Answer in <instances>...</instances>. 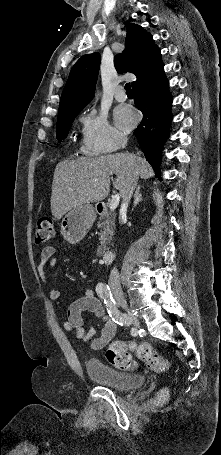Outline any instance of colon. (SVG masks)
Here are the masks:
<instances>
[{
  "label": "colon",
  "instance_id": "1",
  "mask_svg": "<svg viewBox=\"0 0 221 455\" xmlns=\"http://www.w3.org/2000/svg\"><path fill=\"white\" fill-rule=\"evenodd\" d=\"M35 241L37 244H49L55 238L54 222L51 218L45 217L38 221L35 228ZM131 352H135L138 359L145 362L146 366L156 372H165L169 369V363L161 355L154 351L147 342H124L115 340L107 347L106 359L113 366L131 370L137 366ZM168 398V391L162 389L156 396L155 402L163 404Z\"/></svg>",
  "mask_w": 221,
  "mask_h": 455
}]
</instances>
